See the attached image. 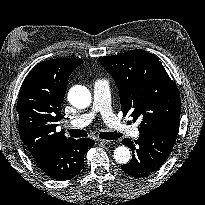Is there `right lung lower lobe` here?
Here are the masks:
<instances>
[{"instance_id": "right-lung-lower-lobe-1", "label": "right lung lower lobe", "mask_w": 205, "mask_h": 205, "mask_svg": "<svg viewBox=\"0 0 205 205\" xmlns=\"http://www.w3.org/2000/svg\"><path fill=\"white\" fill-rule=\"evenodd\" d=\"M95 142L90 138L72 139L60 147L34 158L39 169L55 180H68L84 167V155Z\"/></svg>"}]
</instances>
